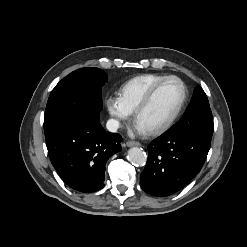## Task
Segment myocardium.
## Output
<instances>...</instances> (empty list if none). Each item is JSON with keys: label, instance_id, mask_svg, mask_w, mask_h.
I'll return each instance as SVG.
<instances>
[{"label": "myocardium", "instance_id": "f54148a6", "mask_svg": "<svg viewBox=\"0 0 247 247\" xmlns=\"http://www.w3.org/2000/svg\"><path fill=\"white\" fill-rule=\"evenodd\" d=\"M171 80H176L178 81L183 89V95H182V99L177 107V109L175 110V112L172 114V116L162 125L148 131L149 135H160L164 132H166L168 129H170L172 127V125L176 122V120L179 118V116L181 115L187 98H188V88L187 85L185 84V82L174 75H170V76H166L165 78H163L162 80H160L159 82H157L145 95V97L143 98V100L139 103V105L137 106V108L134 111V119L137 122L138 117L140 116V114L150 105V103L152 102L155 94L157 93V91L161 88L162 85H164L166 82L171 81Z\"/></svg>", "mask_w": 247, "mask_h": 247}]
</instances>
